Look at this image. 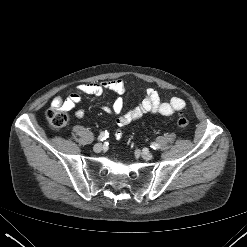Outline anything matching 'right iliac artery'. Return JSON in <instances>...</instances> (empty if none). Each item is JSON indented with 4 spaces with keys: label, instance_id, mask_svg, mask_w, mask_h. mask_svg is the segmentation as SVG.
<instances>
[{
    "label": "right iliac artery",
    "instance_id": "82829eb1",
    "mask_svg": "<svg viewBox=\"0 0 247 247\" xmlns=\"http://www.w3.org/2000/svg\"><path fill=\"white\" fill-rule=\"evenodd\" d=\"M109 133L107 131H103L99 137H98V140L99 141H104L107 137H108Z\"/></svg>",
    "mask_w": 247,
    "mask_h": 247
}]
</instances>
